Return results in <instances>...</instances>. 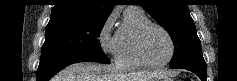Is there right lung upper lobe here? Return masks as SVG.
<instances>
[{
    "instance_id": "1",
    "label": "right lung upper lobe",
    "mask_w": 237,
    "mask_h": 81,
    "mask_svg": "<svg viewBox=\"0 0 237 81\" xmlns=\"http://www.w3.org/2000/svg\"><path fill=\"white\" fill-rule=\"evenodd\" d=\"M115 0H57L51 19L66 16H81L107 19Z\"/></svg>"
}]
</instances>
